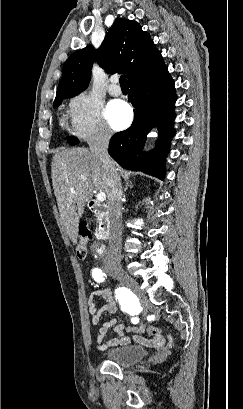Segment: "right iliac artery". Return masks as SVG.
I'll return each instance as SVG.
<instances>
[{
    "instance_id": "82829eb1",
    "label": "right iliac artery",
    "mask_w": 243,
    "mask_h": 409,
    "mask_svg": "<svg viewBox=\"0 0 243 409\" xmlns=\"http://www.w3.org/2000/svg\"><path fill=\"white\" fill-rule=\"evenodd\" d=\"M92 276L95 281L97 282H103L105 274L102 272L101 269L95 268L92 271ZM117 295V299L119 300V303L125 308L126 312L135 314L136 309H135V302L133 300V297L129 295V291L126 288H118L115 291ZM134 305V306H133ZM139 318L136 317L132 320V323H138Z\"/></svg>"
}]
</instances>
